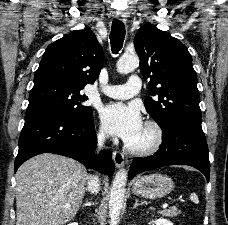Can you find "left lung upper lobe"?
Masks as SVG:
<instances>
[{"mask_svg": "<svg viewBox=\"0 0 228 225\" xmlns=\"http://www.w3.org/2000/svg\"><path fill=\"white\" fill-rule=\"evenodd\" d=\"M141 73L149 78L147 112L163 128L173 120L201 123L197 75L187 47L152 24H145L134 38Z\"/></svg>", "mask_w": 228, "mask_h": 225, "instance_id": "obj_1", "label": "left lung upper lobe"}]
</instances>
